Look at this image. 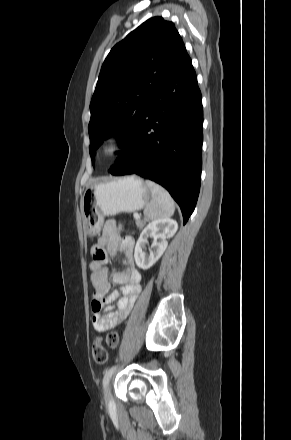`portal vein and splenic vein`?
<instances>
[{
	"instance_id": "1",
	"label": "portal vein and splenic vein",
	"mask_w": 291,
	"mask_h": 440,
	"mask_svg": "<svg viewBox=\"0 0 291 440\" xmlns=\"http://www.w3.org/2000/svg\"><path fill=\"white\" fill-rule=\"evenodd\" d=\"M134 218L135 219H140V215L138 213H134Z\"/></svg>"
}]
</instances>
